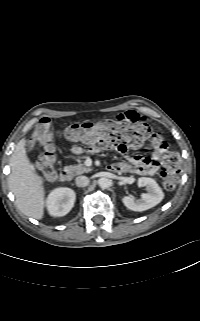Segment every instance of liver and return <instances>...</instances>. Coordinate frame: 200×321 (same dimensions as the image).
I'll list each match as a JSON object with an SVG mask.
<instances>
[{"mask_svg": "<svg viewBox=\"0 0 200 321\" xmlns=\"http://www.w3.org/2000/svg\"><path fill=\"white\" fill-rule=\"evenodd\" d=\"M9 165L11 173L8 183L15 196L17 208L28 217L42 219L45 206V190L41 178L26 155L24 139L16 145L10 157Z\"/></svg>", "mask_w": 200, "mask_h": 321, "instance_id": "1", "label": "liver"}]
</instances>
